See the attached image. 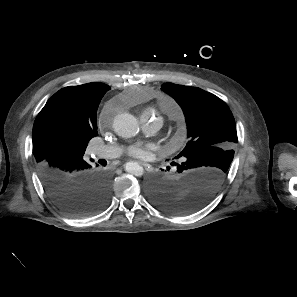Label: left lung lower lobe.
Listing matches in <instances>:
<instances>
[{"mask_svg": "<svg viewBox=\"0 0 297 297\" xmlns=\"http://www.w3.org/2000/svg\"><path fill=\"white\" fill-rule=\"evenodd\" d=\"M186 168L178 164V174L172 179L150 181L148 192L156 206L176 214L193 213L215 196L225 179L218 171Z\"/></svg>", "mask_w": 297, "mask_h": 297, "instance_id": "0a47b994", "label": "left lung lower lobe"}]
</instances>
